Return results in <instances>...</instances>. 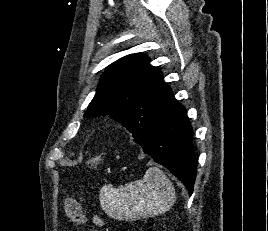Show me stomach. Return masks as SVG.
<instances>
[{
    "mask_svg": "<svg viewBox=\"0 0 268 231\" xmlns=\"http://www.w3.org/2000/svg\"><path fill=\"white\" fill-rule=\"evenodd\" d=\"M100 161H101V158H100V156H98V157L91 159L89 163L91 164V166H96L98 164V162H100Z\"/></svg>",
    "mask_w": 268,
    "mask_h": 231,
    "instance_id": "stomach-1",
    "label": "stomach"
}]
</instances>
